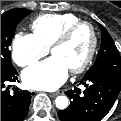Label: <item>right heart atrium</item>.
<instances>
[{
    "instance_id": "right-heart-atrium-1",
    "label": "right heart atrium",
    "mask_w": 121,
    "mask_h": 121,
    "mask_svg": "<svg viewBox=\"0 0 121 121\" xmlns=\"http://www.w3.org/2000/svg\"><path fill=\"white\" fill-rule=\"evenodd\" d=\"M47 53L48 48L34 34L18 33L12 39V59L20 67L34 64Z\"/></svg>"
}]
</instances>
